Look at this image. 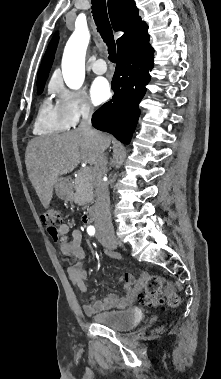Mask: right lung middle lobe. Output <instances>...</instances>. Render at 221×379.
I'll return each instance as SVG.
<instances>
[{"label": "right lung middle lobe", "mask_w": 221, "mask_h": 379, "mask_svg": "<svg viewBox=\"0 0 221 379\" xmlns=\"http://www.w3.org/2000/svg\"><path fill=\"white\" fill-rule=\"evenodd\" d=\"M43 88H44V86H39V87H37V93H38V94H41L42 91H43Z\"/></svg>", "instance_id": "right-lung-middle-lobe-1"}]
</instances>
